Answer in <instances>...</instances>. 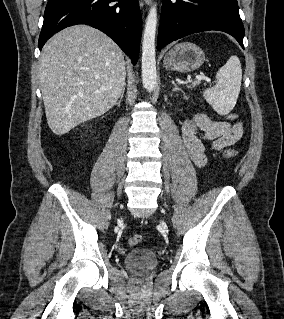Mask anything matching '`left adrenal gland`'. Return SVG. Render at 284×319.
Wrapping results in <instances>:
<instances>
[{"instance_id": "1", "label": "left adrenal gland", "mask_w": 284, "mask_h": 319, "mask_svg": "<svg viewBox=\"0 0 284 319\" xmlns=\"http://www.w3.org/2000/svg\"><path fill=\"white\" fill-rule=\"evenodd\" d=\"M171 83L174 85V88H173L172 91H181V92L183 93L184 97H186L185 93L182 91L181 88H179V87L177 86V84H176V82H175L174 80H171Z\"/></svg>"}]
</instances>
